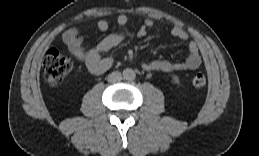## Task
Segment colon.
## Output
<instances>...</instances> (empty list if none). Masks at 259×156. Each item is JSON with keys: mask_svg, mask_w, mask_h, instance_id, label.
Here are the masks:
<instances>
[{"mask_svg": "<svg viewBox=\"0 0 259 156\" xmlns=\"http://www.w3.org/2000/svg\"><path fill=\"white\" fill-rule=\"evenodd\" d=\"M73 64L71 59L56 49H49L43 59V73L47 83L52 87L59 86L71 73ZM196 88L206 84V76L203 73L196 74L192 79Z\"/></svg>", "mask_w": 259, "mask_h": 156, "instance_id": "1", "label": "colon"}]
</instances>
